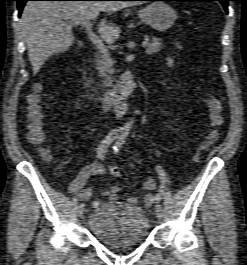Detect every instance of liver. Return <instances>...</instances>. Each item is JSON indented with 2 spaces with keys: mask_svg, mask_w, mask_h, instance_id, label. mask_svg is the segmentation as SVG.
I'll return each instance as SVG.
<instances>
[{
  "mask_svg": "<svg viewBox=\"0 0 247 265\" xmlns=\"http://www.w3.org/2000/svg\"><path fill=\"white\" fill-rule=\"evenodd\" d=\"M137 5L118 1H29L20 21L26 41L33 74L36 75L52 55L68 50L73 43L71 21L95 20L100 12L114 13ZM69 22V23H68ZM102 39L112 44L120 34V28L106 20L98 27Z\"/></svg>",
  "mask_w": 247,
  "mask_h": 265,
  "instance_id": "6515ba94",
  "label": "liver"
}]
</instances>
